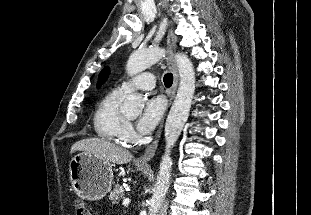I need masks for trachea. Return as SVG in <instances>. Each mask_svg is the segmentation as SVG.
Here are the masks:
<instances>
[{"instance_id": "3493384b", "label": "trachea", "mask_w": 311, "mask_h": 215, "mask_svg": "<svg viewBox=\"0 0 311 215\" xmlns=\"http://www.w3.org/2000/svg\"><path fill=\"white\" fill-rule=\"evenodd\" d=\"M163 81H164V84L166 87H170L173 83V75L172 73H167L164 75V78H163Z\"/></svg>"}]
</instances>
